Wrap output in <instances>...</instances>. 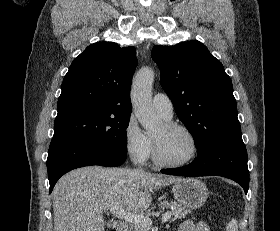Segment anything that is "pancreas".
<instances>
[{"label":"pancreas","instance_id":"cf45deb5","mask_svg":"<svg viewBox=\"0 0 280 231\" xmlns=\"http://www.w3.org/2000/svg\"><path fill=\"white\" fill-rule=\"evenodd\" d=\"M160 207H170L172 205V215L173 219H177V217H185L188 213V209H185L183 205L177 203V201H160ZM144 215H151L150 211H146ZM129 231H148V227H142V225H138V223H132L131 227H129Z\"/></svg>","mask_w":280,"mask_h":231}]
</instances>
